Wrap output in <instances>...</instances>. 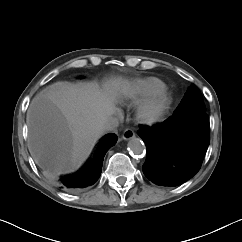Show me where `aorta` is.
Masks as SVG:
<instances>
[{"label": "aorta", "instance_id": "762f6f07", "mask_svg": "<svg viewBox=\"0 0 242 242\" xmlns=\"http://www.w3.org/2000/svg\"><path fill=\"white\" fill-rule=\"evenodd\" d=\"M128 150L131 154L140 156L145 152V145L141 139L135 137L128 142Z\"/></svg>", "mask_w": 242, "mask_h": 242}]
</instances>
